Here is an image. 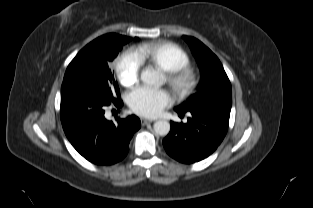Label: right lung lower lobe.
Instances as JSON below:
<instances>
[{
  "mask_svg": "<svg viewBox=\"0 0 313 208\" xmlns=\"http://www.w3.org/2000/svg\"><path fill=\"white\" fill-rule=\"evenodd\" d=\"M120 99L108 101L82 87L68 84L61 88L60 117L64 132L72 146L88 161L111 165L122 160L129 151V142L140 128L135 115L117 119V124L104 117V108Z\"/></svg>",
  "mask_w": 313,
  "mask_h": 208,
  "instance_id": "98d812e1",
  "label": "right lung lower lobe"
}]
</instances>
